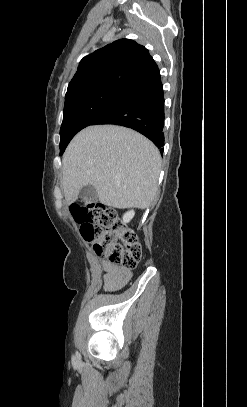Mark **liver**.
<instances>
[{
    "label": "liver",
    "instance_id": "obj_1",
    "mask_svg": "<svg viewBox=\"0 0 247 407\" xmlns=\"http://www.w3.org/2000/svg\"><path fill=\"white\" fill-rule=\"evenodd\" d=\"M161 156L155 145L132 129L89 126L80 131L63 156L67 204L80 190L95 187L101 203L119 209H145L157 193Z\"/></svg>",
    "mask_w": 247,
    "mask_h": 407
}]
</instances>
